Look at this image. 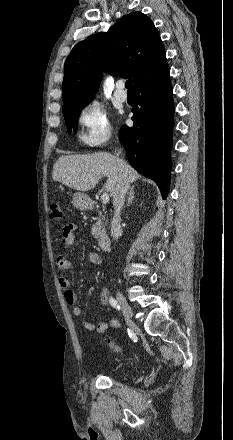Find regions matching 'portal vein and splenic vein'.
I'll return each mask as SVG.
<instances>
[{"label": "portal vein and splenic vein", "instance_id": "1", "mask_svg": "<svg viewBox=\"0 0 233 440\" xmlns=\"http://www.w3.org/2000/svg\"><path fill=\"white\" fill-rule=\"evenodd\" d=\"M101 201L103 204H107L109 202V194L108 193H103L101 196Z\"/></svg>", "mask_w": 233, "mask_h": 440}]
</instances>
